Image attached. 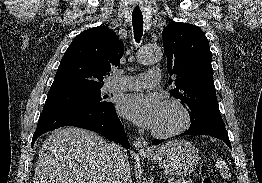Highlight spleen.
<instances>
[{"label": "spleen", "instance_id": "obj_1", "mask_svg": "<svg viewBox=\"0 0 262 183\" xmlns=\"http://www.w3.org/2000/svg\"><path fill=\"white\" fill-rule=\"evenodd\" d=\"M217 168L220 169V174L223 179H228L231 176L228 166L221 158L217 159Z\"/></svg>", "mask_w": 262, "mask_h": 183}]
</instances>
